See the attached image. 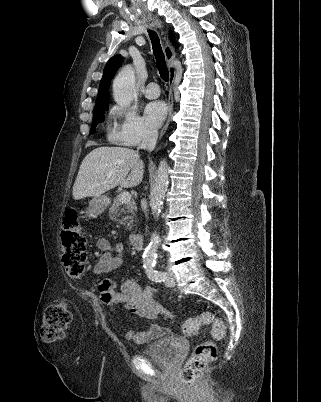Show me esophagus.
<instances>
[{
  "instance_id": "esophagus-1",
  "label": "esophagus",
  "mask_w": 321,
  "mask_h": 402,
  "mask_svg": "<svg viewBox=\"0 0 321 402\" xmlns=\"http://www.w3.org/2000/svg\"><path fill=\"white\" fill-rule=\"evenodd\" d=\"M156 25L161 28L162 27V23L161 21H159L158 19L156 20ZM164 54L166 57V61H167V65H168V70H169V86H170V90H169V98H168V117H167V121L161 131L160 134V139L162 138V136L164 135V133L166 132L169 123L171 121V117H172V113H173V105H174V98H173V85H174V81H175V75H176V70H175V66H174V60L176 57V52L174 50V47L172 46L171 41L169 40L168 36L164 37Z\"/></svg>"
}]
</instances>
